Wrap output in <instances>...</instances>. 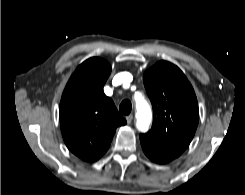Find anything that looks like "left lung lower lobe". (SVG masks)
<instances>
[{"instance_id": "1", "label": "left lung lower lobe", "mask_w": 245, "mask_h": 195, "mask_svg": "<svg viewBox=\"0 0 245 195\" xmlns=\"http://www.w3.org/2000/svg\"><path fill=\"white\" fill-rule=\"evenodd\" d=\"M140 141L145 155L155 163L165 164L182 154L178 150L160 147L144 137H140Z\"/></svg>"}]
</instances>
